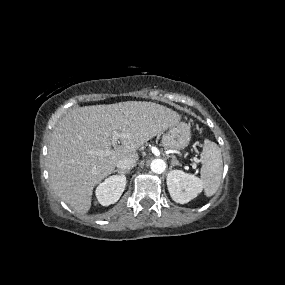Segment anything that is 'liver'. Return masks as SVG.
Segmentation results:
<instances>
[{
    "label": "liver",
    "instance_id": "obj_1",
    "mask_svg": "<svg viewBox=\"0 0 285 285\" xmlns=\"http://www.w3.org/2000/svg\"><path fill=\"white\" fill-rule=\"evenodd\" d=\"M179 121L177 112L153 102L73 109L51 135L47 161L52 189L75 211L87 213L94 187L114 172L118 161H137L145 142ZM113 131L120 133L121 145H112ZM102 151L109 153L98 156Z\"/></svg>",
    "mask_w": 285,
    "mask_h": 285
}]
</instances>
